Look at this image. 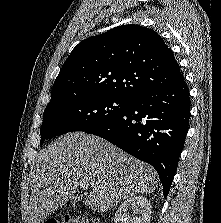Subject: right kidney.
<instances>
[{"label": "right kidney", "instance_id": "obj_1", "mask_svg": "<svg viewBox=\"0 0 221 223\" xmlns=\"http://www.w3.org/2000/svg\"><path fill=\"white\" fill-rule=\"evenodd\" d=\"M129 209H133L140 216H130ZM151 204L144 196H132L125 200L116 211L115 223H150Z\"/></svg>", "mask_w": 221, "mask_h": 223}]
</instances>
